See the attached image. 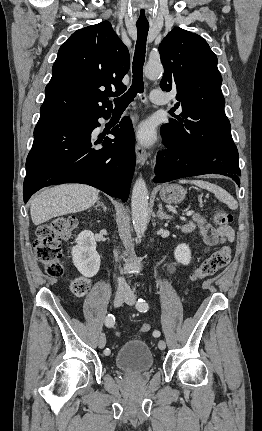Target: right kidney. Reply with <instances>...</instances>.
Masks as SVG:
<instances>
[{
    "label": "right kidney",
    "mask_w": 262,
    "mask_h": 431,
    "mask_svg": "<svg viewBox=\"0 0 262 431\" xmlns=\"http://www.w3.org/2000/svg\"><path fill=\"white\" fill-rule=\"evenodd\" d=\"M72 248V260L78 271L85 277H93L100 268V256L96 251L94 234L91 231L81 232Z\"/></svg>",
    "instance_id": "1"
}]
</instances>
